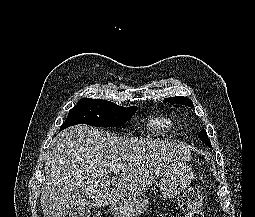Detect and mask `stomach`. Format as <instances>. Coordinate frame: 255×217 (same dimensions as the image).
Listing matches in <instances>:
<instances>
[{
  "label": "stomach",
  "instance_id": "1",
  "mask_svg": "<svg viewBox=\"0 0 255 217\" xmlns=\"http://www.w3.org/2000/svg\"><path fill=\"white\" fill-rule=\"evenodd\" d=\"M194 175L191 167L181 164L175 170L164 174L159 179L161 193L165 197L179 195L190 183ZM148 201L145 198H135L126 201L114 202L110 212L115 217H137L147 209Z\"/></svg>",
  "mask_w": 255,
  "mask_h": 217
}]
</instances>
